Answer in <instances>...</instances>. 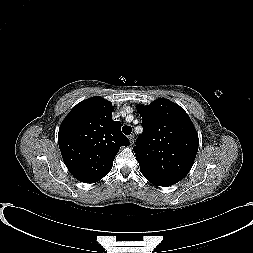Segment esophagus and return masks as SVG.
<instances>
[{"instance_id": "esophagus-1", "label": "esophagus", "mask_w": 253, "mask_h": 253, "mask_svg": "<svg viewBox=\"0 0 253 253\" xmlns=\"http://www.w3.org/2000/svg\"><path fill=\"white\" fill-rule=\"evenodd\" d=\"M128 138H129V141H130V145L132 146L134 144V135L131 134V135H129Z\"/></svg>"}]
</instances>
